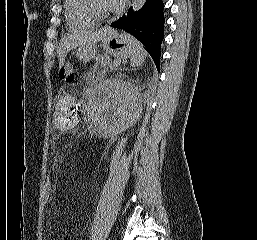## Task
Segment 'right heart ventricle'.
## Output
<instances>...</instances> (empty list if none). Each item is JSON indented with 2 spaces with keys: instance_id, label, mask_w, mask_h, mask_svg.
I'll return each mask as SVG.
<instances>
[{
  "instance_id": "obj_1",
  "label": "right heart ventricle",
  "mask_w": 257,
  "mask_h": 240,
  "mask_svg": "<svg viewBox=\"0 0 257 240\" xmlns=\"http://www.w3.org/2000/svg\"><path fill=\"white\" fill-rule=\"evenodd\" d=\"M64 9L66 24L70 30L91 29L98 23L85 12L82 0H65Z\"/></svg>"
}]
</instances>
